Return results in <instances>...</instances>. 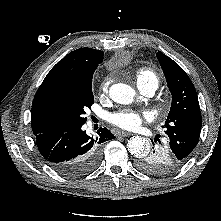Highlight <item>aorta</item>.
<instances>
[{"label": "aorta", "instance_id": "1", "mask_svg": "<svg viewBox=\"0 0 221 221\" xmlns=\"http://www.w3.org/2000/svg\"><path fill=\"white\" fill-rule=\"evenodd\" d=\"M110 98L119 104H130L135 96V91L129 85L123 83L113 84L109 90ZM128 151L137 158L143 157L149 152V145L141 136L129 139L127 143Z\"/></svg>", "mask_w": 221, "mask_h": 221}]
</instances>
